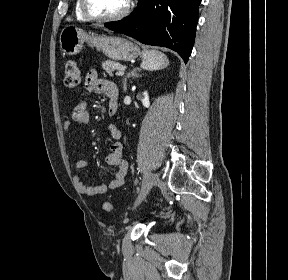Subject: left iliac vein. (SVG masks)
<instances>
[{
	"mask_svg": "<svg viewBox=\"0 0 288 280\" xmlns=\"http://www.w3.org/2000/svg\"><path fill=\"white\" fill-rule=\"evenodd\" d=\"M158 179L157 177H153V178H145L143 180V182L145 183V186L142 187L141 192L139 193L135 203H134V208H136L147 196V194L149 193L150 189L153 186V183L156 182Z\"/></svg>",
	"mask_w": 288,
	"mask_h": 280,
	"instance_id": "4c4485c4",
	"label": "left iliac vein"
}]
</instances>
